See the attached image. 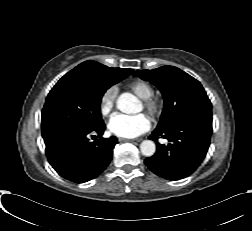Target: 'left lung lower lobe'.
<instances>
[{
    "mask_svg": "<svg viewBox=\"0 0 252 231\" xmlns=\"http://www.w3.org/2000/svg\"><path fill=\"white\" fill-rule=\"evenodd\" d=\"M211 134L212 116H186L164 130L153 131L150 139L157 142L161 136L169 144L157 143L156 153L144 162L152 172L168 180L189 176L205 158Z\"/></svg>",
    "mask_w": 252,
    "mask_h": 231,
    "instance_id": "obj_1",
    "label": "left lung lower lobe"
}]
</instances>
